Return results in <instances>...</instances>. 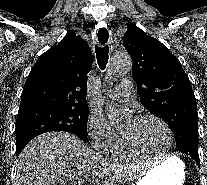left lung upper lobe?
<instances>
[{
	"instance_id": "5c2ea615",
	"label": "left lung upper lobe",
	"mask_w": 207,
	"mask_h": 185,
	"mask_svg": "<svg viewBox=\"0 0 207 185\" xmlns=\"http://www.w3.org/2000/svg\"><path fill=\"white\" fill-rule=\"evenodd\" d=\"M123 44L133 60L141 103L171 128L178 151L198 154V113L180 61L157 39L128 24Z\"/></svg>"
}]
</instances>
